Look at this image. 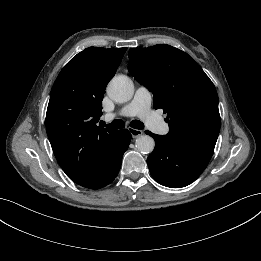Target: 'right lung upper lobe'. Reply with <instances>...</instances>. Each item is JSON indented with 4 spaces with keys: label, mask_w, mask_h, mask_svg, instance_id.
Wrapping results in <instances>:
<instances>
[{
    "label": "right lung upper lobe",
    "mask_w": 261,
    "mask_h": 261,
    "mask_svg": "<svg viewBox=\"0 0 261 261\" xmlns=\"http://www.w3.org/2000/svg\"><path fill=\"white\" fill-rule=\"evenodd\" d=\"M126 50L89 47L64 66L52 87L47 135L59 165L74 182L100 165L120 131L97 122L106 85Z\"/></svg>",
    "instance_id": "right-lung-upper-lobe-1"
}]
</instances>
